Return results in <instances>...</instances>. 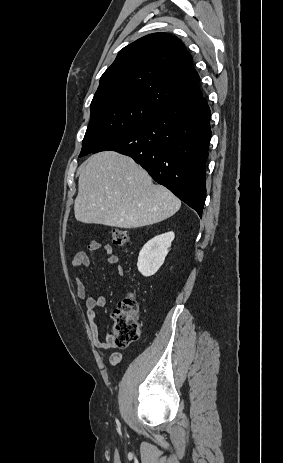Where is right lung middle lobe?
I'll use <instances>...</instances> for the list:
<instances>
[{
  "label": "right lung middle lobe",
  "mask_w": 283,
  "mask_h": 463,
  "mask_svg": "<svg viewBox=\"0 0 283 463\" xmlns=\"http://www.w3.org/2000/svg\"><path fill=\"white\" fill-rule=\"evenodd\" d=\"M90 123L80 157L87 155L160 110L156 105L126 92H107L91 102Z\"/></svg>",
  "instance_id": "dd1d6c3e"
}]
</instances>
